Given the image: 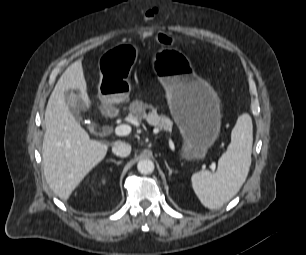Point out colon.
Wrapping results in <instances>:
<instances>
[{
  "mask_svg": "<svg viewBox=\"0 0 306 255\" xmlns=\"http://www.w3.org/2000/svg\"><path fill=\"white\" fill-rule=\"evenodd\" d=\"M159 14V8L156 6H152L150 8H148L147 10L144 11V17L146 19H153L154 17H156ZM151 37L150 33H147L144 38H149ZM159 42L163 43V44H171V39L163 34H158L157 36Z\"/></svg>",
  "mask_w": 306,
  "mask_h": 255,
  "instance_id": "obj_1",
  "label": "colon"
}]
</instances>
